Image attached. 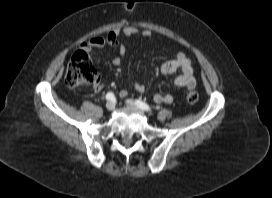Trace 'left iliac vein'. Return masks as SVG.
<instances>
[{
    "label": "left iliac vein",
    "instance_id": "1",
    "mask_svg": "<svg viewBox=\"0 0 272 198\" xmlns=\"http://www.w3.org/2000/svg\"><path fill=\"white\" fill-rule=\"evenodd\" d=\"M125 103H126V105H127L128 107H130L131 109H133V110H135V111H138V112L142 113V111L138 108V106L134 103L133 100L127 99V100L125 101Z\"/></svg>",
    "mask_w": 272,
    "mask_h": 198
}]
</instances>
